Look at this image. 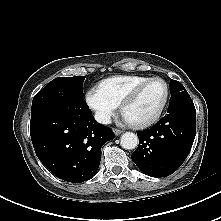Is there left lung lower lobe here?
Wrapping results in <instances>:
<instances>
[{
    "instance_id": "0a47b994",
    "label": "left lung lower lobe",
    "mask_w": 221,
    "mask_h": 221,
    "mask_svg": "<svg viewBox=\"0 0 221 221\" xmlns=\"http://www.w3.org/2000/svg\"><path fill=\"white\" fill-rule=\"evenodd\" d=\"M195 134L196 110L192 99L170 103L167 115L150 129L137 132L139 146L131 158L149 176L171 175L188 156Z\"/></svg>"
}]
</instances>
